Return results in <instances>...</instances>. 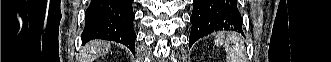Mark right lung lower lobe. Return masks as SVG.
I'll use <instances>...</instances> for the list:
<instances>
[{
  "label": "right lung lower lobe",
  "instance_id": "98d812e1",
  "mask_svg": "<svg viewBox=\"0 0 331 62\" xmlns=\"http://www.w3.org/2000/svg\"><path fill=\"white\" fill-rule=\"evenodd\" d=\"M133 0H91L85 15L83 44L93 39L116 41L135 53Z\"/></svg>",
  "mask_w": 331,
  "mask_h": 62
}]
</instances>
